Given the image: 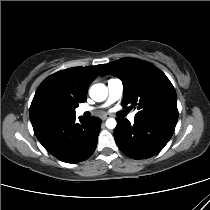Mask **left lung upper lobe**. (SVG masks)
Masks as SVG:
<instances>
[{
	"mask_svg": "<svg viewBox=\"0 0 210 210\" xmlns=\"http://www.w3.org/2000/svg\"><path fill=\"white\" fill-rule=\"evenodd\" d=\"M112 74L123 81V106L136 107L137 119H164L177 122V96L166 75L149 62L121 58L104 64L100 75Z\"/></svg>",
	"mask_w": 210,
	"mask_h": 210,
	"instance_id": "5c2ea615",
	"label": "left lung upper lobe"
}]
</instances>
